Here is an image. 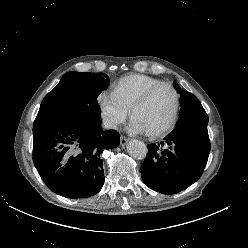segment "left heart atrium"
I'll return each mask as SVG.
<instances>
[{
    "label": "left heart atrium",
    "mask_w": 248,
    "mask_h": 248,
    "mask_svg": "<svg viewBox=\"0 0 248 248\" xmlns=\"http://www.w3.org/2000/svg\"><path fill=\"white\" fill-rule=\"evenodd\" d=\"M129 130L133 134H143V133H146L143 130V128L138 123H136L135 121H132V123L130 124Z\"/></svg>",
    "instance_id": "39dd6f15"
}]
</instances>
